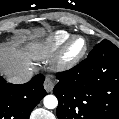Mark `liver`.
<instances>
[{
	"label": "liver",
	"mask_w": 119,
	"mask_h": 119,
	"mask_svg": "<svg viewBox=\"0 0 119 119\" xmlns=\"http://www.w3.org/2000/svg\"><path fill=\"white\" fill-rule=\"evenodd\" d=\"M45 35L42 28L28 32L22 39H37ZM28 69L26 55L19 51L15 44L0 45V74L8 78L9 75Z\"/></svg>",
	"instance_id": "1"
}]
</instances>
